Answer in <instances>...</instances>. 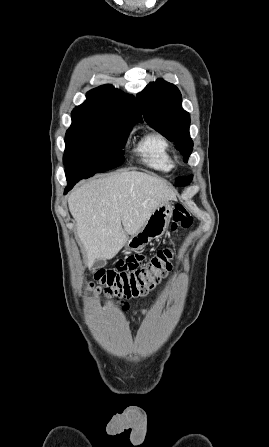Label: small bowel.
<instances>
[{
  "label": "small bowel",
  "mask_w": 269,
  "mask_h": 447,
  "mask_svg": "<svg viewBox=\"0 0 269 447\" xmlns=\"http://www.w3.org/2000/svg\"><path fill=\"white\" fill-rule=\"evenodd\" d=\"M159 297H161L162 295H161V293H159V295H158ZM141 313H143V314H145V312L144 311H141Z\"/></svg>",
  "instance_id": "c3829d8e"
}]
</instances>
